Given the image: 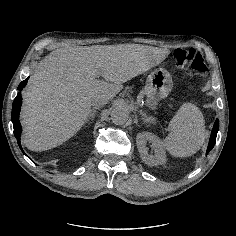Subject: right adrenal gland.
Segmentation results:
<instances>
[{
  "instance_id": "2a0ac1e0",
  "label": "right adrenal gland",
  "mask_w": 236,
  "mask_h": 236,
  "mask_svg": "<svg viewBox=\"0 0 236 236\" xmlns=\"http://www.w3.org/2000/svg\"><path fill=\"white\" fill-rule=\"evenodd\" d=\"M99 108H100L99 106H94V107H93V109H92V111H91V114H90L88 120L91 119V122H93L94 116L96 115V111H95V110H96V109H99Z\"/></svg>"
}]
</instances>
